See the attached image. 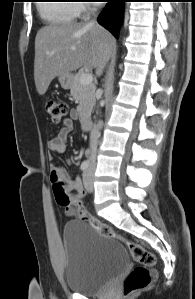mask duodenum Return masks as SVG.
I'll return each mask as SVG.
<instances>
[{
    "label": "duodenum",
    "instance_id": "duodenum-1",
    "mask_svg": "<svg viewBox=\"0 0 195 299\" xmlns=\"http://www.w3.org/2000/svg\"><path fill=\"white\" fill-rule=\"evenodd\" d=\"M80 121H81V124L83 126V128H90L91 126V117L88 113H82L80 115Z\"/></svg>",
    "mask_w": 195,
    "mask_h": 299
}]
</instances>
